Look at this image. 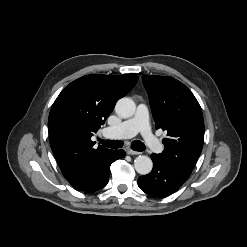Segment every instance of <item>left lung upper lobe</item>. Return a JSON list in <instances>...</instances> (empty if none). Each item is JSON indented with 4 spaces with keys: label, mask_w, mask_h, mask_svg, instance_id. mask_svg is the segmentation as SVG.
I'll return each mask as SVG.
<instances>
[{
    "label": "left lung upper lobe",
    "mask_w": 247,
    "mask_h": 247,
    "mask_svg": "<svg viewBox=\"0 0 247 247\" xmlns=\"http://www.w3.org/2000/svg\"><path fill=\"white\" fill-rule=\"evenodd\" d=\"M156 129L167 131L164 151L158 154L191 174L203 147L204 121L201 107L180 81L166 76H142Z\"/></svg>",
    "instance_id": "1"
}]
</instances>
